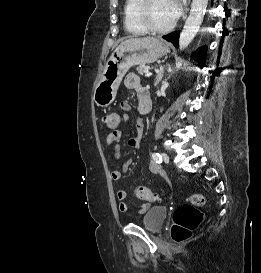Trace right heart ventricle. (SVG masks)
Wrapping results in <instances>:
<instances>
[{
    "label": "right heart ventricle",
    "instance_id": "e07e8e85",
    "mask_svg": "<svg viewBox=\"0 0 261 273\" xmlns=\"http://www.w3.org/2000/svg\"><path fill=\"white\" fill-rule=\"evenodd\" d=\"M140 0H125L123 8V25L127 33L131 35H142L147 30L137 20V7Z\"/></svg>",
    "mask_w": 261,
    "mask_h": 273
}]
</instances>
